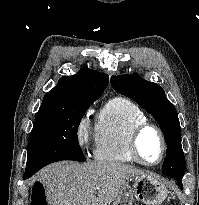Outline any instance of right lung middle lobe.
Here are the masks:
<instances>
[{"label": "right lung middle lobe", "instance_id": "obj_1", "mask_svg": "<svg viewBox=\"0 0 199 205\" xmlns=\"http://www.w3.org/2000/svg\"><path fill=\"white\" fill-rule=\"evenodd\" d=\"M95 100L86 99L38 111L28 140L24 176H32L44 166L60 160L86 161L78 143L77 130Z\"/></svg>", "mask_w": 199, "mask_h": 205}]
</instances>
